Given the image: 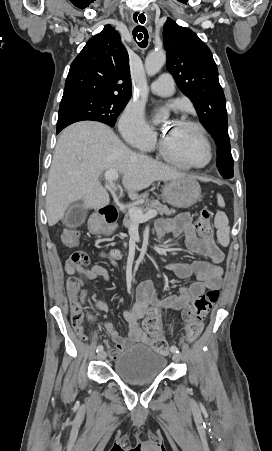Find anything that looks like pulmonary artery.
Instances as JSON below:
<instances>
[{
    "mask_svg": "<svg viewBox=\"0 0 272 451\" xmlns=\"http://www.w3.org/2000/svg\"><path fill=\"white\" fill-rule=\"evenodd\" d=\"M174 86L173 77L169 74H164L151 84L150 90L156 95L170 97L174 93Z\"/></svg>",
    "mask_w": 272,
    "mask_h": 451,
    "instance_id": "obj_1",
    "label": "pulmonary artery"
}]
</instances>
